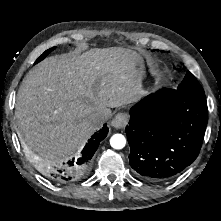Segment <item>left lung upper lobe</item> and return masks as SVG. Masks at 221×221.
Returning a JSON list of instances; mask_svg holds the SVG:
<instances>
[{
    "mask_svg": "<svg viewBox=\"0 0 221 221\" xmlns=\"http://www.w3.org/2000/svg\"><path fill=\"white\" fill-rule=\"evenodd\" d=\"M177 90L181 94H186L192 97L205 98V93L202 86L190 71H187L185 78L177 87Z\"/></svg>",
    "mask_w": 221,
    "mask_h": 221,
    "instance_id": "1",
    "label": "left lung upper lobe"
}]
</instances>
